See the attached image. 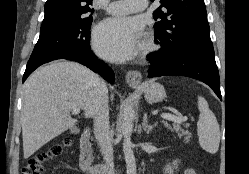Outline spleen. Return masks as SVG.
<instances>
[{
	"label": "spleen",
	"mask_w": 249,
	"mask_h": 174,
	"mask_svg": "<svg viewBox=\"0 0 249 174\" xmlns=\"http://www.w3.org/2000/svg\"><path fill=\"white\" fill-rule=\"evenodd\" d=\"M198 109L200 111L197 123V132L200 146L208 153L215 154L220 143V128L216 116L209 109L204 97L198 96Z\"/></svg>",
	"instance_id": "3e777b00"
}]
</instances>
